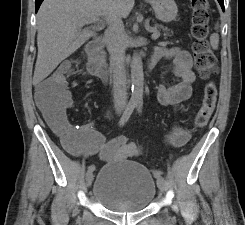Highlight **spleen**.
Masks as SVG:
<instances>
[{
    "instance_id": "3e777b00",
    "label": "spleen",
    "mask_w": 245,
    "mask_h": 225,
    "mask_svg": "<svg viewBox=\"0 0 245 225\" xmlns=\"http://www.w3.org/2000/svg\"><path fill=\"white\" fill-rule=\"evenodd\" d=\"M210 43H211V46H212L213 49H217L218 48L219 35L217 33L211 35V37H210Z\"/></svg>"
}]
</instances>
